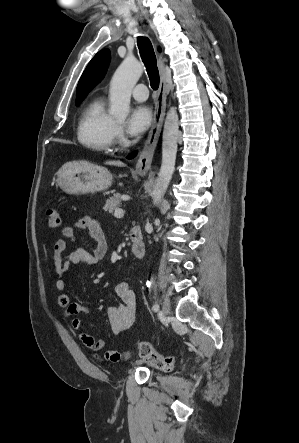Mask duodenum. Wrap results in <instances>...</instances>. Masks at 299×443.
Returning a JSON list of instances; mask_svg holds the SVG:
<instances>
[{"mask_svg":"<svg viewBox=\"0 0 299 443\" xmlns=\"http://www.w3.org/2000/svg\"><path fill=\"white\" fill-rule=\"evenodd\" d=\"M129 237L131 240V252L135 258H142L144 255V243L142 233L139 228L130 229Z\"/></svg>","mask_w":299,"mask_h":443,"instance_id":"duodenum-1","label":"duodenum"}]
</instances>
